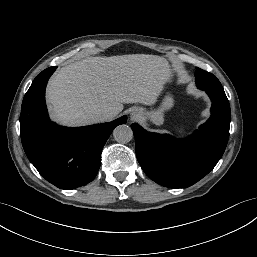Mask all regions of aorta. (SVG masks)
<instances>
[{
  "instance_id": "1",
  "label": "aorta",
  "mask_w": 257,
  "mask_h": 257,
  "mask_svg": "<svg viewBox=\"0 0 257 257\" xmlns=\"http://www.w3.org/2000/svg\"><path fill=\"white\" fill-rule=\"evenodd\" d=\"M114 139L119 143H128L133 138V131L128 125H119L113 131Z\"/></svg>"
}]
</instances>
